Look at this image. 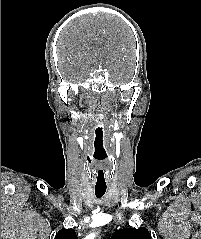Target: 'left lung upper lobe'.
<instances>
[{
	"mask_svg": "<svg viewBox=\"0 0 201 239\" xmlns=\"http://www.w3.org/2000/svg\"><path fill=\"white\" fill-rule=\"evenodd\" d=\"M111 239H151V235L146 228H129L117 230Z\"/></svg>",
	"mask_w": 201,
	"mask_h": 239,
	"instance_id": "obj_1",
	"label": "left lung upper lobe"
}]
</instances>
